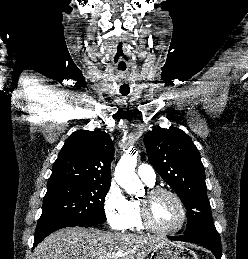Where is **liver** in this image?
Returning <instances> with one entry per match:
<instances>
[{"instance_id":"1","label":"liver","mask_w":248,"mask_h":259,"mask_svg":"<svg viewBox=\"0 0 248 259\" xmlns=\"http://www.w3.org/2000/svg\"><path fill=\"white\" fill-rule=\"evenodd\" d=\"M167 241L154 236L119 234L80 227L65 228L45 238L33 259H145Z\"/></svg>"}]
</instances>
